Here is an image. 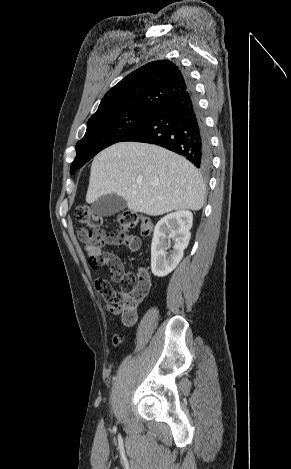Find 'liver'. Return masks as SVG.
<instances>
[{
	"label": "liver",
	"instance_id": "liver-1",
	"mask_svg": "<svg viewBox=\"0 0 291 469\" xmlns=\"http://www.w3.org/2000/svg\"><path fill=\"white\" fill-rule=\"evenodd\" d=\"M205 192L201 174L185 158L151 144L119 142L95 156L86 202L117 194L131 211L158 216L200 210Z\"/></svg>",
	"mask_w": 291,
	"mask_h": 469
}]
</instances>
